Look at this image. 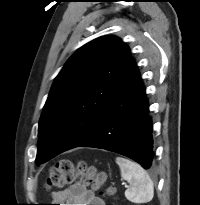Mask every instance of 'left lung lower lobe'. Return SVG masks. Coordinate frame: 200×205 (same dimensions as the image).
I'll list each match as a JSON object with an SVG mask.
<instances>
[{
  "label": "left lung lower lobe",
  "instance_id": "0a47b994",
  "mask_svg": "<svg viewBox=\"0 0 200 205\" xmlns=\"http://www.w3.org/2000/svg\"><path fill=\"white\" fill-rule=\"evenodd\" d=\"M76 147L106 149L133 159L144 169L152 167V122L145 88L134 60L110 105Z\"/></svg>",
  "mask_w": 200,
  "mask_h": 205
}]
</instances>
